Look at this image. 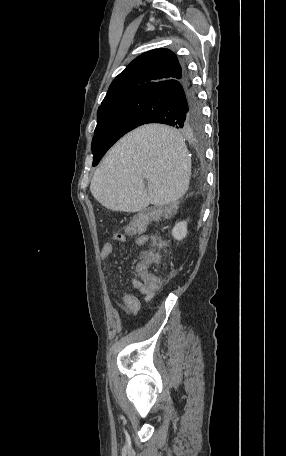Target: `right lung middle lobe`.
I'll use <instances>...</instances> for the list:
<instances>
[{
  "label": "right lung middle lobe",
  "instance_id": "1",
  "mask_svg": "<svg viewBox=\"0 0 286 456\" xmlns=\"http://www.w3.org/2000/svg\"><path fill=\"white\" fill-rule=\"evenodd\" d=\"M136 107L129 97L108 102L97 111V126L92 140L93 166H96L106 151L124 134L136 128ZM201 127L195 131L200 133Z\"/></svg>",
  "mask_w": 286,
  "mask_h": 456
}]
</instances>
